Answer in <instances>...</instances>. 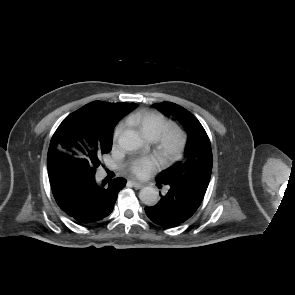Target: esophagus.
I'll return each mask as SVG.
<instances>
[{
  "label": "esophagus",
  "instance_id": "1",
  "mask_svg": "<svg viewBox=\"0 0 295 295\" xmlns=\"http://www.w3.org/2000/svg\"><path fill=\"white\" fill-rule=\"evenodd\" d=\"M131 183H132L133 187L136 188V189H140V188H142L144 186L142 183H139V182H137L135 180H131Z\"/></svg>",
  "mask_w": 295,
  "mask_h": 295
}]
</instances>
